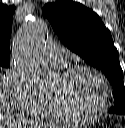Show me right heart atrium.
Masks as SVG:
<instances>
[{
    "instance_id": "right-heart-atrium-1",
    "label": "right heart atrium",
    "mask_w": 125,
    "mask_h": 128,
    "mask_svg": "<svg viewBox=\"0 0 125 128\" xmlns=\"http://www.w3.org/2000/svg\"><path fill=\"white\" fill-rule=\"evenodd\" d=\"M13 105L20 112L35 114L45 102L46 97L20 72L11 70L8 75Z\"/></svg>"
}]
</instances>
